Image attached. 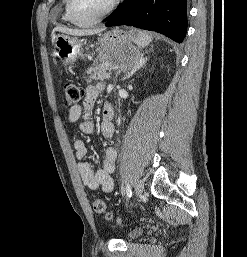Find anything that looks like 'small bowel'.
<instances>
[{
  "instance_id": "1",
  "label": "small bowel",
  "mask_w": 247,
  "mask_h": 257,
  "mask_svg": "<svg viewBox=\"0 0 247 257\" xmlns=\"http://www.w3.org/2000/svg\"><path fill=\"white\" fill-rule=\"evenodd\" d=\"M105 85L98 83L86 87L84 91V101L72 107L69 111L68 121L70 123H79L80 129L85 133H92L94 123L91 118V110L99 94L104 91ZM113 109L110 104L103 108V117L100 124L102 136L110 140L114 137L115 127L112 123ZM75 156L78 159L77 169L80 173L82 182L91 190L101 189L109 193L114 189V182L111 177L115 171L117 151L113 147H107L104 152L102 168L93 170L91 164L85 161L88 154V148L82 140H76L73 144Z\"/></svg>"
}]
</instances>
